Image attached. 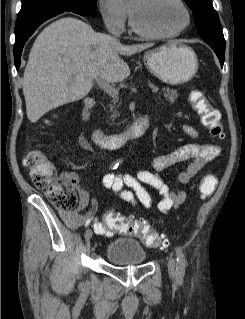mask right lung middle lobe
<instances>
[{
	"instance_id": "1",
	"label": "right lung middle lobe",
	"mask_w": 245,
	"mask_h": 319,
	"mask_svg": "<svg viewBox=\"0 0 245 319\" xmlns=\"http://www.w3.org/2000/svg\"><path fill=\"white\" fill-rule=\"evenodd\" d=\"M95 7L96 0H22L18 19L57 8L72 9L85 16H92L95 12Z\"/></svg>"
}]
</instances>
